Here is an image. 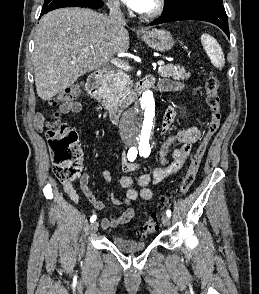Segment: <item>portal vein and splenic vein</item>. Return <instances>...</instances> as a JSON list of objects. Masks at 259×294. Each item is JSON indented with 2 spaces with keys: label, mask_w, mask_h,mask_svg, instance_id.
Masks as SVG:
<instances>
[{
  "label": "portal vein and splenic vein",
  "mask_w": 259,
  "mask_h": 294,
  "mask_svg": "<svg viewBox=\"0 0 259 294\" xmlns=\"http://www.w3.org/2000/svg\"><path fill=\"white\" fill-rule=\"evenodd\" d=\"M91 48H92V47L87 46V47H84V48L82 49V51H84V52H88V51H90ZM110 62H111L112 64H114L115 66H117V67L123 69V70H126V71L130 70V66H129L126 62H124V61H122V60L111 59ZM157 65H158V66H163V65H164V61H162V60H161V61H158V62H157Z\"/></svg>",
  "instance_id": "portal-vein-and-splenic-vein-1"
}]
</instances>
